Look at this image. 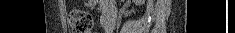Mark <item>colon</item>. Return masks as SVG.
<instances>
[{
	"label": "colon",
	"instance_id": "colon-1",
	"mask_svg": "<svg viewBox=\"0 0 235 33\" xmlns=\"http://www.w3.org/2000/svg\"><path fill=\"white\" fill-rule=\"evenodd\" d=\"M69 23L73 33H91L93 28L92 16L82 10H74L69 15Z\"/></svg>",
	"mask_w": 235,
	"mask_h": 33
}]
</instances>
